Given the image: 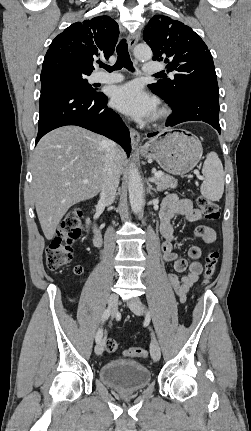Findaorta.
Instances as JSON below:
<instances>
[{
  "instance_id": "obj_1",
  "label": "aorta",
  "mask_w": 251,
  "mask_h": 431,
  "mask_svg": "<svg viewBox=\"0 0 251 431\" xmlns=\"http://www.w3.org/2000/svg\"><path fill=\"white\" fill-rule=\"evenodd\" d=\"M136 59L146 61L152 58V51L147 45H137L134 48ZM129 201L132 211L137 214L141 211L144 203L143 184L140 173L135 165H131L128 178Z\"/></svg>"
}]
</instances>
